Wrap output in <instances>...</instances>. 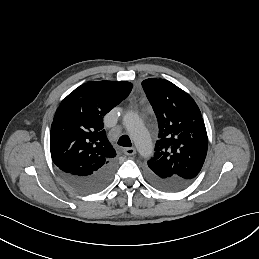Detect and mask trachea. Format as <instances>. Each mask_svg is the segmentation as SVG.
<instances>
[{
    "instance_id": "3493384b",
    "label": "trachea",
    "mask_w": 259,
    "mask_h": 259,
    "mask_svg": "<svg viewBox=\"0 0 259 259\" xmlns=\"http://www.w3.org/2000/svg\"><path fill=\"white\" fill-rule=\"evenodd\" d=\"M118 145L124 147H131V140L127 135H123L118 139Z\"/></svg>"
}]
</instances>
